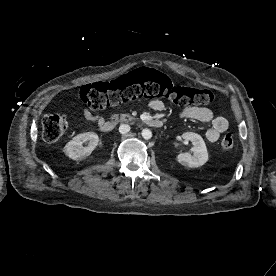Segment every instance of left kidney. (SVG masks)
<instances>
[{
	"label": "left kidney",
	"mask_w": 276,
	"mask_h": 276,
	"mask_svg": "<svg viewBox=\"0 0 276 276\" xmlns=\"http://www.w3.org/2000/svg\"><path fill=\"white\" fill-rule=\"evenodd\" d=\"M182 138L192 142L194 145L191 149L193 154L188 152L178 154V162L191 168L204 165L208 161V151L203 138L194 132L183 133Z\"/></svg>",
	"instance_id": "obj_1"
}]
</instances>
